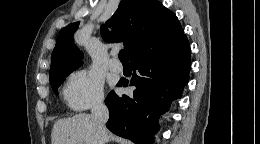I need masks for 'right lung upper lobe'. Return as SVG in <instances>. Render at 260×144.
I'll list each match as a JSON object with an SVG mask.
<instances>
[{"label": "right lung upper lobe", "instance_id": "1", "mask_svg": "<svg viewBox=\"0 0 260 144\" xmlns=\"http://www.w3.org/2000/svg\"><path fill=\"white\" fill-rule=\"evenodd\" d=\"M79 22L61 29L51 56L49 75L81 65L82 52L75 46L73 35ZM113 26L110 32L108 27ZM109 43L123 42L126 53L133 56L170 43L184 32L176 15L156 0H121L113 16L101 26Z\"/></svg>", "mask_w": 260, "mask_h": 144}]
</instances>
